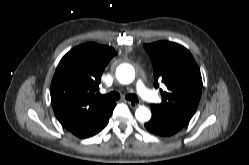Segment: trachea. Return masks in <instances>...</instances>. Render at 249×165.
<instances>
[{
	"label": "trachea",
	"instance_id": "trachea-1",
	"mask_svg": "<svg viewBox=\"0 0 249 165\" xmlns=\"http://www.w3.org/2000/svg\"><path fill=\"white\" fill-rule=\"evenodd\" d=\"M100 97L105 98L107 100H118L120 98V94L117 92H111L107 95H100ZM126 99L133 102H138V98L135 94L126 95Z\"/></svg>",
	"mask_w": 249,
	"mask_h": 165
}]
</instances>
